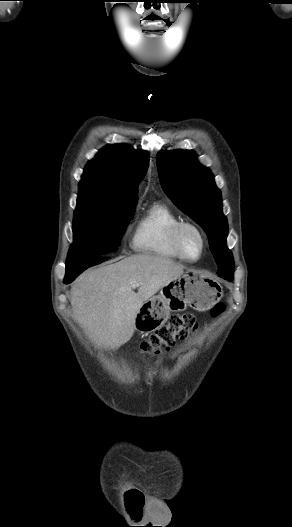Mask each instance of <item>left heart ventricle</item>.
Masks as SVG:
<instances>
[{"mask_svg":"<svg viewBox=\"0 0 292 527\" xmlns=\"http://www.w3.org/2000/svg\"><path fill=\"white\" fill-rule=\"evenodd\" d=\"M182 246L188 257L196 258L201 250V239L194 230L186 229L182 234Z\"/></svg>","mask_w":292,"mask_h":527,"instance_id":"1","label":"left heart ventricle"}]
</instances>
